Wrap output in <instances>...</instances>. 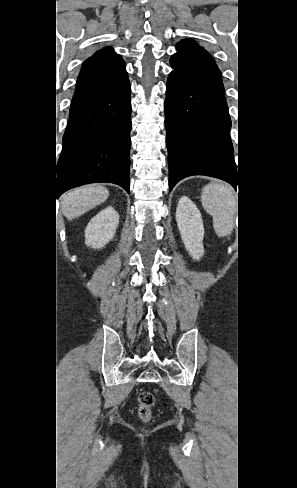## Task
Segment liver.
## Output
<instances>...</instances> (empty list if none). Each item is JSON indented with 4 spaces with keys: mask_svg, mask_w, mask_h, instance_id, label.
Listing matches in <instances>:
<instances>
[{
    "mask_svg": "<svg viewBox=\"0 0 297 488\" xmlns=\"http://www.w3.org/2000/svg\"><path fill=\"white\" fill-rule=\"evenodd\" d=\"M108 196L109 192L103 186L89 185L74 189L62 197V212L67 219H75L105 202Z\"/></svg>",
    "mask_w": 297,
    "mask_h": 488,
    "instance_id": "liver-1",
    "label": "liver"
}]
</instances>
